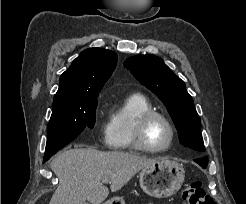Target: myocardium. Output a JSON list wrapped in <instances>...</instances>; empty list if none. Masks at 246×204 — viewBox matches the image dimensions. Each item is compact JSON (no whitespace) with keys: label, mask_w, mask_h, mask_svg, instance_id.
Returning a JSON list of instances; mask_svg holds the SVG:
<instances>
[{"label":"myocardium","mask_w":246,"mask_h":204,"mask_svg":"<svg viewBox=\"0 0 246 204\" xmlns=\"http://www.w3.org/2000/svg\"><path fill=\"white\" fill-rule=\"evenodd\" d=\"M154 118H159L163 120L166 125L168 126L170 130V139L167 143L166 146L162 148H153L150 147L145 140V133H146V128L150 121ZM175 135H176V130L175 127L172 123V121L163 113L155 111V110H150L145 113H143L136 121L134 132H133V139H134V144L137 149L142 150L144 152L148 153H162L167 150H169L175 140Z\"/></svg>","instance_id":"obj_1"}]
</instances>
